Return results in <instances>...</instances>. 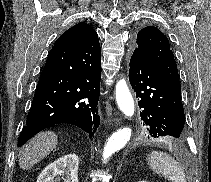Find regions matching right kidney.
<instances>
[{
	"instance_id": "obj_1",
	"label": "right kidney",
	"mask_w": 211,
	"mask_h": 182,
	"mask_svg": "<svg viewBox=\"0 0 211 182\" xmlns=\"http://www.w3.org/2000/svg\"><path fill=\"white\" fill-rule=\"evenodd\" d=\"M79 159L76 154H67L49 164L39 175L37 182H64L78 181ZM65 177V178H64Z\"/></svg>"
}]
</instances>
